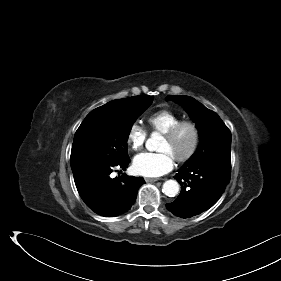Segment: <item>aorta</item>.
Instances as JSON below:
<instances>
[{
    "instance_id": "obj_1",
    "label": "aorta",
    "mask_w": 281,
    "mask_h": 281,
    "mask_svg": "<svg viewBox=\"0 0 281 281\" xmlns=\"http://www.w3.org/2000/svg\"><path fill=\"white\" fill-rule=\"evenodd\" d=\"M157 135L152 134L151 138L146 141V148L149 151L155 150L156 142H157ZM162 192L169 197H174L179 192V184L175 180H167L163 184Z\"/></svg>"
}]
</instances>
